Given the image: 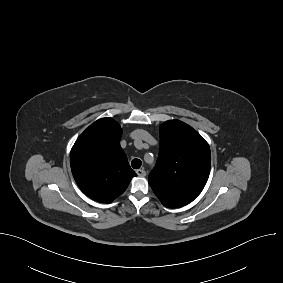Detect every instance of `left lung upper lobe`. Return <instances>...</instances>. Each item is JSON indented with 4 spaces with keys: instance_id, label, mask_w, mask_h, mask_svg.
Wrapping results in <instances>:
<instances>
[{
    "instance_id": "1",
    "label": "left lung upper lobe",
    "mask_w": 283,
    "mask_h": 283,
    "mask_svg": "<svg viewBox=\"0 0 283 283\" xmlns=\"http://www.w3.org/2000/svg\"><path fill=\"white\" fill-rule=\"evenodd\" d=\"M159 136V157L149 174V184L164 206H185L200 194L209 177V145L197 131L178 120L164 122Z\"/></svg>"
}]
</instances>
